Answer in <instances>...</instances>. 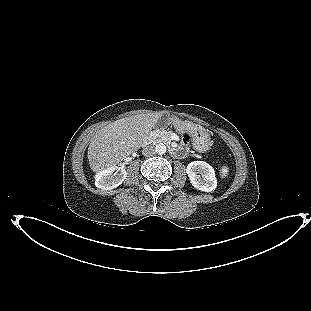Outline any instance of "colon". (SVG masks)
I'll list each match as a JSON object with an SVG mask.
<instances>
[{"instance_id": "colon-1", "label": "colon", "mask_w": 311, "mask_h": 311, "mask_svg": "<svg viewBox=\"0 0 311 311\" xmlns=\"http://www.w3.org/2000/svg\"><path fill=\"white\" fill-rule=\"evenodd\" d=\"M219 174H220V176H221L222 178L227 177L228 174H229V169H228V167H226V166L220 167V169H219Z\"/></svg>"}]
</instances>
